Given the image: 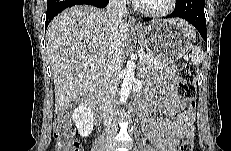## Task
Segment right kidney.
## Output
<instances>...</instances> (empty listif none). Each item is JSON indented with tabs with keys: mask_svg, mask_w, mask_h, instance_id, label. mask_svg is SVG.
<instances>
[{
	"mask_svg": "<svg viewBox=\"0 0 231 151\" xmlns=\"http://www.w3.org/2000/svg\"><path fill=\"white\" fill-rule=\"evenodd\" d=\"M72 118L80 136L88 137L94 126V117L90 107L87 104L80 105L74 110Z\"/></svg>",
	"mask_w": 231,
	"mask_h": 151,
	"instance_id": "ca27d5eb",
	"label": "right kidney"
}]
</instances>
